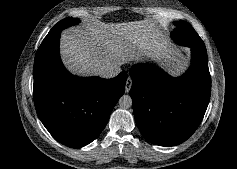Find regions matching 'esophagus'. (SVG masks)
Wrapping results in <instances>:
<instances>
[{
	"instance_id": "34e87169",
	"label": "esophagus",
	"mask_w": 237,
	"mask_h": 169,
	"mask_svg": "<svg viewBox=\"0 0 237 169\" xmlns=\"http://www.w3.org/2000/svg\"><path fill=\"white\" fill-rule=\"evenodd\" d=\"M131 85H132V79L127 78V84H126V88H125L126 92H129Z\"/></svg>"
}]
</instances>
